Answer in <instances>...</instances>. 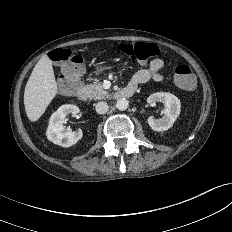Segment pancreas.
<instances>
[{"label": "pancreas", "mask_w": 232, "mask_h": 232, "mask_svg": "<svg viewBox=\"0 0 232 232\" xmlns=\"http://www.w3.org/2000/svg\"><path fill=\"white\" fill-rule=\"evenodd\" d=\"M86 89L89 93L90 99L100 100L108 96V92L104 90L102 83L100 82L87 85Z\"/></svg>", "instance_id": "pancreas-1"}]
</instances>
